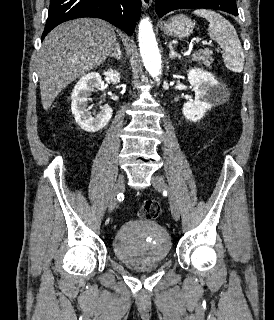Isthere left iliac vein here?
Masks as SVG:
<instances>
[{"instance_id":"obj_1","label":"left iliac vein","mask_w":274,"mask_h":320,"mask_svg":"<svg viewBox=\"0 0 274 320\" xmlns=\"http://www.w3.org/2000/svg\"><path fill=\"white\" fill-rule=\"evenodd\" d=\"M152 184H153V187L158 191H164V190L168 191L171 213H172L173 219L175 221H178L180 218L179 207H178V204L175 201L174 197L170 193L169 188H168L165 180L161 176L155 175L152 177Z\"/></svg>"}]
</instances>
